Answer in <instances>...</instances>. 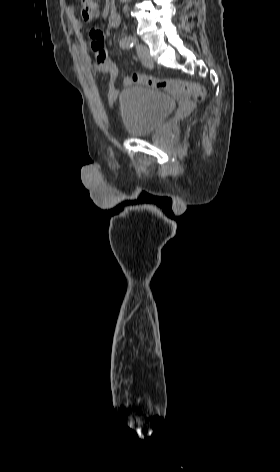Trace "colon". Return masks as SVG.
I'll use <instances>...</instances> for the list:
<instances>
[{"instance_id": "colon-1", "label": "colon", "mask_w": 280, "mask_h": 472, "mask_svg": "<svg viewBox=\"0 0 280 472\" xmlns=\"http://www.w3.org/2000/svg\"><path fill=\"white\" fill-rule=\"evenodd\" d=\"M81 16L84 21H92L98 14V6L94 0H78ZM132 82L142 84L156 89H162L169 92L182 91L193 97L196 101H202L205 98V87L196 82H186L175 79L161 80L149 77L137 72L130 74Z\"/></svg>"}]
</instances>
